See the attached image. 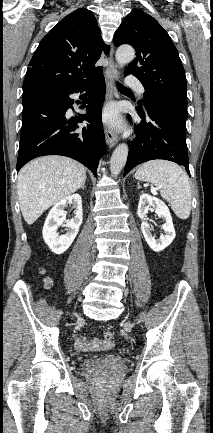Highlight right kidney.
Returning <instances> with one entry per match:
<instances>
[{
    "mask_svg": "<svg viewBox=\"0 0 213 433\" xmlns=\"http://www.w3.org/2000/svg\"><path fill=\"white\" fill-rule=\"evenodd\" d=\"M75 207V216L64 224L66 212L64 208L68 205ZM83 219L82 199L79 194L68 196L54 205L50 210L43 227V238L50 250L55 254L64 253L72 244L78 234ZM59 226L67 227L64 235H59L57 229Z\"/></svg>",
    "mask_w": 213,
    "mask_h": 433,
    "instance_id": "obj_1",
    "label": "right kidney"
}]
</instances>
